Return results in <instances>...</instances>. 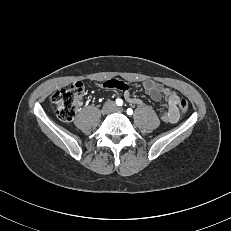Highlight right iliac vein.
Listing matches in <instances>:
<instances>
[{
    "label": "right iliac vein",
    "instance_id": "obj_1",
    "mask_svg": "<svg viewBox=\"0 0 231 231\" xmlns=\"http://www.w3.org/2000/svg\"><path fill=\"white\" fill-rule=\"evenodd\" d=\"M113 109H114V104H113V102L108 101V102H106V103L104 104L102 111H103L104 114H109L110 112L113 111Z\"/></svg>",
    "mask_w": 231,
    "mask_h": 231
}]
</instances>
